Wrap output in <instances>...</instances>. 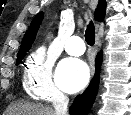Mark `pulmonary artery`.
Wrapping results in <instances>:
<instances>
[{
    "mask_svg": "<svg viewBox=\"0 0 131 115\" xmlns=\"http://www.w3.org/2000/svg\"><path fill=\"white\" fill-rule=\"evenodd\" d=\"M66 52L73 56L82 55L85 51V45L80 36H71L65 45Z\"/></svg>",
    "mask_w": 131,
    "mask_h": 115,
    "instance_id": "pulmonary-artery-1",
    "label": "pulmonary artery"
}]
</instances>
